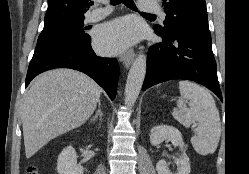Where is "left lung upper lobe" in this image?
I'll return each instance as SVG.
<instances>
[{
  "label": "left lung upper lobe",
  "mask_w": 249,
  "mask_h": 174,
  "mask_svg": "<svg viewBox=\"0 0 249 174\" xmlns=\"http://www.w3.org/2000/svg\"><path fill=\"white\" fill-rule=\"evenodd\" d=\"M167 14L164 27L154 30L165 37L186 34L210 35L205 0H162Z\"/></svg>",
  "instance_id": "1"
}]
</instances>
